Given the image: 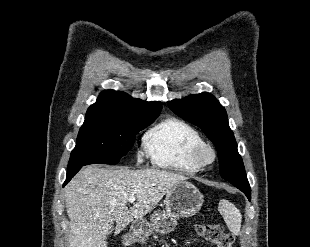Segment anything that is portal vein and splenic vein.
I'll return each mask as SVG.
<instances>
[{
    "label": "portal vein and splenic vein",
    "instance_id": "portal-vein-and-splenic-vein-1",
    "mask_svg": "<svg viewBox=\"0 0 310 247\" xmlns=\"http://www.w3.org/2000/svg\"><path fill=\"white\" fill-rule=\"evenodd\" d=\"M135 200H136L135 196H131V197H129V199H128V201H129L130 203H133Z\"/></svg>",
    "mask_w": 310,
    "mask_h": 247
}]
</instances>
